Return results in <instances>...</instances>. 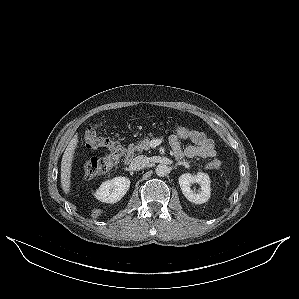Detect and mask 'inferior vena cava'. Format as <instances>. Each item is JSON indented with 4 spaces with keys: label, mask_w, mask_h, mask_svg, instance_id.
<instances>
[{
    "label": "inferior vena cava",
    "mask_w": 299,
    "mask_h": 299,
    "mask_svg": "<svg viewBox=\"0 0 299 299\" xmlns=\"http://www.w3.org/2000/svg\"><path fill=\"white\" fill-rule=\"evenodd\" d=\"M132 165L137 170L144 169L149 165V157L139 155L133 159Z\"/></svg>",
    "instance_id": "inferior-vena-cava-1"
}]
</instances>
